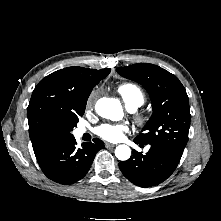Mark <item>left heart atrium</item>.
Returning <instances> with one entry per match:
<instances>
[{
	"mask_svg": "<svg viewBox=\"0 0 221 221\" xmlns=\"http://www.w3.org/2000/svg\"><path fill=\"white\" fill-rule=\"evenodd\" d=\"M127 130L122 124H103L96 129L97 135L108 141H118Z\"/></svg>",
	"mask_w": 221,
	"mask_h": 221,
	"instance_id": "39dd6f15",
	"label": "left heart atrium"
}]
</instances>
